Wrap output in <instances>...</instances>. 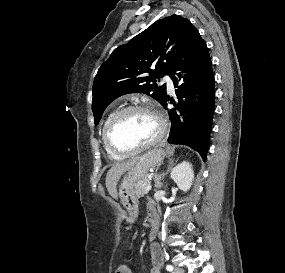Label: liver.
<instances>
[{
  "label": "liver",
  "mask_w": 285,
  "mask_h": 273,
  "mask_svg": "<svg viewBox=\"0 0 285 273\" xmlns=\"http://www.w3.org/2000/svg\"><path fill=\"white\" fill-rule=\"evenodd\" d=\"M140 159V157L132 158L126 162H120L114 164L106 175V188L108 190V193L114 198L117 199V182L120 179V177L129 170L132 166H134L137 161Z\"/></svg>",
  "instance_id": "liver-1"
}]
</instances>
